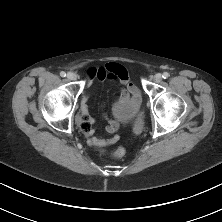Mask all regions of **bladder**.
I'll return each mask as SVG.
<instances>
[{"mask_svg":"<svg viewBox=\"0 0 222 222\" xmlns=\"http://www.w3.org/2000/svg\"><path fill=\"white\" fill-rule=\"evenodd\" d=\"M138 108V102L134 104L129 101L119 110V116L125 119L130 118L136 114Z\"/></svg>","mask_w":222,"mask_h":222,"instance_id":"obj_1","label":"bladder"}]
</instances>
